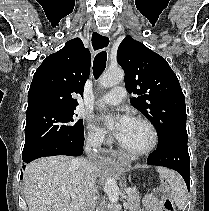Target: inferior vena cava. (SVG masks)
I'll return each instance as SVG.
<instances>
[{
	"label": "inferior vena cava",
	"mask_w": 209,
	"mask_h": 211,
	"mask_svg": "<svg viewBox=\"0 0 209 211\" xmlns=\"http://www.w3.org/2000/svg\"><path fill=\"white\" fill-rule=\"evenodd\" d=\"M101 143V137L90 138L86 141L84 150L87 154H91L93 148H97ZM87 181L89 182V191L86 199V211H95L97 188L95 186L96 176L94 173V165L86 158L77 160Z\"/></svg>",
	"instance_id": "602c4592"
}]
</instances>
